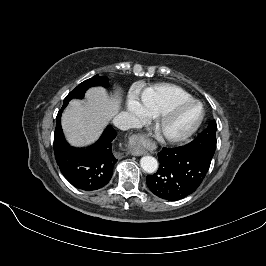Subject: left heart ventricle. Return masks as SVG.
<instances>
[{
    "label": "left heart ventricle",
    "instance_id": "1",
    "mask_svg": "<svg viewBox=\"0 0 266 266\" xmlns=\"http://www.w3.org/2000/svg\"><path fill=\"white\" fill-rule=\"evenodd\" d=\"M199 109L195 106L189 107L174 117L167 125L166 130L172 134H178L187 130L195 121Z\"/></svg>",
    "mask_w": 266,
    "mask_h": 266
}]
</instances>
